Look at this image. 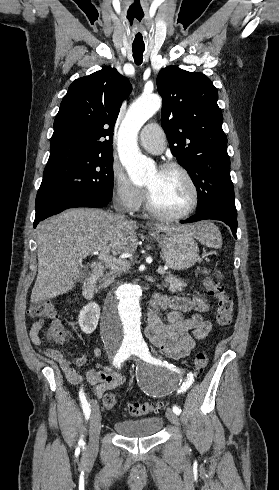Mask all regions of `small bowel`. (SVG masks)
<instances>
[{
	"mask_svg": "<svg viewBox=\"0 0 279 490\" xmlns=\"http://www.w3.org/2000/svg\"><path fill=\"white\" fill-rule=\"evenodd\" d=\"M209 305L200 297L167 296L156 293L149 301L146 311L145 336L150 343L163 355L180 360L189 355L195 347V340L204 339L211 331V323L203 319L201 313L208 311ZM167 310L166 313L163 311ZM195 311L190 318H184L183 313ZM45 321L38 320L33 323L29 335L36 346H41V333ZM41 352L58 362L70 383L80 390L87 386L94 387L97 397L121 385L125 374L111 368L97 364L89 369L83 376L73 367L72 362L64 354L54 348L41 349ZM94 358L102 356V349L95 347L92 351ZM86 357L81 356L75 360L76 365H83Z\"/></svg>",
	"mask_w": 279,
	"mask_h": 490,
	"instance_id": "small-bowel-1",
	"label": "small bowel"
}]
</instances>
